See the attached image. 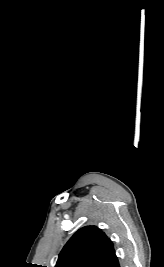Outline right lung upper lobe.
I'll use <instances>...</instances> for the list:
<instances>
[{"instance_id": "1", "label": "right lung upper lobe", "mask_w": 164, "mask_h": 267, "mask_svg": "<svg viewBox=\"0 0 164 267\" xmlns=\"http://www.w3.org/2000/svg\"><path fill=\"white\" fill-rule=\"evenodd\" d=\"M114 255L113 244L105 233L86 226L66 243L55 267H100Z\"/></svg>"}]
</instances>
